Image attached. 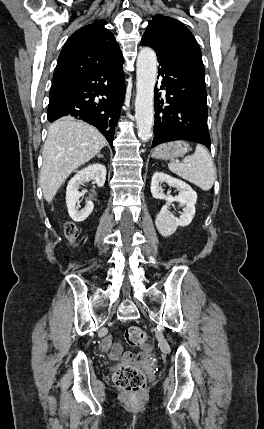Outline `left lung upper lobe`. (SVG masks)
I'll return each instance as SVG.
<instances>
[{"instance_id":"obj_1","label":"left lung upper lobe","mask_w":264,"mask_h":429,"mask_svg":"<svg viewBox=\"0 0 264 429\" xmlns=\"http://www.w3.org/2000/svg\"><path fill=\"white\" fill-rule=\"evenodd\" d=\"M163 50L184 60L192 70L205 80L200 48L192 33L178 20L156 15L143 35Z\"/></svg>"}]
</instances>
